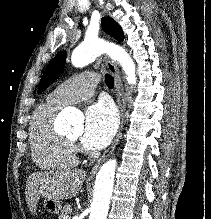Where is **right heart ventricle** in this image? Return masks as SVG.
Segmentation results:
<instances>
[{
	"instance_id": "obj_1",
	"label": "right heart ventricle",
	"mask_w": 211,
	"mask_h": 219,
	"mask_svg": "<svg viewBox=\"0 0 211 219\" xmlns=\"http://www.w3.org/2000/svg\"><path fill=\"white\" fill-rule=\"evenodd\" d=\"M62 108L47 99L35 110L29 128L32 159L41 169H67L76 165L77 155L66 138L54 127L57 112Z\"/></svg>"
}]
</instances>
